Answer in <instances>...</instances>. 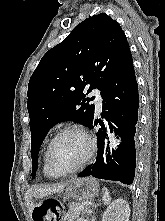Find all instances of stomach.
<instances>
[{"label": "stomach", "mask_w": 165, "mask_h": 221, "mask_svg": "<svg viewBox=\"0 0 165 221\" xmlns=\"http://www.w3.org/2000/svg\"><path fill=\"white\" fill-rule=\"evenodd\" d=\"M60 192L66 199L91 200L98 195L99 185L91 177L75 178ZM69 205H73V200H36L31 217H34V221H66V218L48 217H68Z\"/></svg>", "instance_id": "0dacf381"}]
</instances>
